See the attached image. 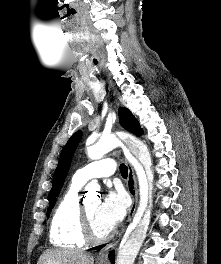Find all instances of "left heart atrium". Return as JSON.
I'll list each match as a JSON object with an SVG mask.
<instances>
[{"label": "left heart atrium", "instance_id": "obj_1", "mask_svg": "<svg viewBox=\"0 0 221 264\" xmlns=\"http://www.w3.org/2000/svg\"><path fill=\"white\" fill-rule=\"evenodd\" d=\"M126 200L120 192H110L98 207V216L102 222L111 230L125 216Z\"/></svg>", "mask_w": 221, "mask_h": 264}]
</instances>
